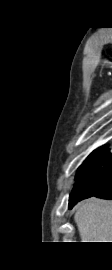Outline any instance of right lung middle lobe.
<instances>
[{
  "label": "right lung middle lobe",
  "mask_w": 112,
  "mask_h": 270,
  "mask_svg": "<svg viewBox=\"0 0 112 270\" xmlns=\"http://www.w3.org/2000/svg\"><path fill=\"white\" fill-rule=\"evenodd\" d=\"M106 155V151L103 148H98L88 156L77 172V181L74 184L69 201L75 200L84 194L85 190L82 185V179L92 173L102 163Z\"/></svg>",
  "instance_id": "obj_1"
}]
</instances>
